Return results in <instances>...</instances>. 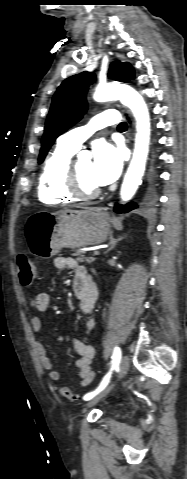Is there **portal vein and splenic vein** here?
I'll use <instances>...</instances> for the list:
<instances>
[{"instance_id": "obj_1", "label": "portal vein and splenic vein", "mask_w": 187, "mask_h": 479, "mask_svg": "<svg viewBox=\"0 0 187 479\" xmlns=\"http://www.w3.org/2000/svg\"><path fill=\"white\" fill-rule=\"evenodd\" d=\"M99 254H100V253H99L98 251H95V252H94V255H95V256H98Z\"/></svg>"}]
</instances>
